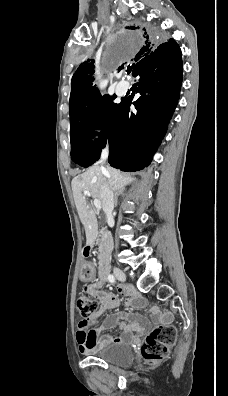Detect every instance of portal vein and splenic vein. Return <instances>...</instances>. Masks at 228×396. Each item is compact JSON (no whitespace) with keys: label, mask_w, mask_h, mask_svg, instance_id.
Segmentation results:
<instances>
[{"label":"portal vein and splenic vein","mask_w":228,"mask_h":396,"mask_svg":"<svg viewBox=\"0 0 228 396\" xmlns=\"http://www.w3.org/2000/svg\"><path fill=\"white\" fill-rule=\"evenodd\" d=\"M84 195H86V196H88V197L91 196L90 192H88V191H84ZM94 206H95L97 209H101V202H100L99 200H97V199H94Z\"/></svg>","instance_id":"obj_1"}]
</instances>
